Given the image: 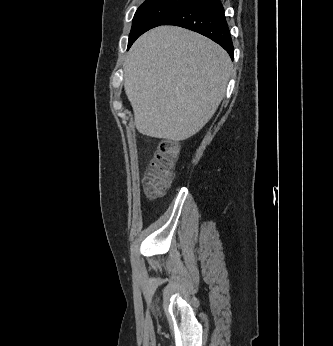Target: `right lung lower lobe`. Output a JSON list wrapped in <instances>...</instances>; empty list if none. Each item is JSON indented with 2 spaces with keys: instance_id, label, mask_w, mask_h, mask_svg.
I'll return each instance as SVG.
<instances>
[{
  "instance_id": "1",
  "label": "right lung lower lobe",
  "mask_w": 333,
  "mask_h": 346,
  "mask_svg": "<svg viewBox=\"0 0 333 346\" xmlns=\"http://www.w3.org/2000/svg\"><path fill=\"white\" fill-rule=\"evenodd\" d=\"M162 25L198 32L221 45L233 59L234 47L220 0H186Z\"/></svg>"
}]
</instances>
